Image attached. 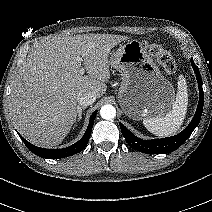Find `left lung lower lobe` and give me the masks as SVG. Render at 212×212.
Returning a JSON list of instances; mask_svg holds the SVG:
<instances>
[{"label":"left lung lower lobe","instance_id":"left-lung-lower-lobe-1","mask_svg":"<svg viewBox=\"0 0 212 212\" xmlns=\"http://www.w3.org/2000/svg\"><path fill=\"white\" fill-rule=\"evenodd\" d=\"M191 64L196 74L198 87H199V103L197 106L196 113L190 122V124L179 134L152 140H142L132 134L123 124L120 123V128L126 142L135 150L147 153V154H166L178 149L191 135L193 130L199 124L204 102V94L202 89V79L198 67L195 65L193 59L191 58Z\"/></svg>","mask_w":212,"mask_h":212}]
</instances>
